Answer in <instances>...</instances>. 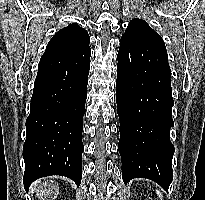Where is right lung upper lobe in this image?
<instances>
[{"label":"right lung upper lobe","instance_id":"obj_1","mask_svg":"<svg viewBox=\"0 0 205 200\" xmlns=\"http://www.w3.org/2000/svg\"><path fill=\"white\" fill-rule=\"evenodd\" d=\"M90 37L85 29L73 23L59 30L50 40L44 54H71L89 48Z\"/></svg>","mask_w":205,"mask_h":200}]
</instances>
